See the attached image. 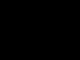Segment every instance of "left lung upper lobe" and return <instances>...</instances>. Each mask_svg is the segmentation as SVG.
I'll list each match as a JSON object with an SVG mask.
<instances>
[{"mask_svg":"<svg viewBox=\"0 0 80 60\" xmlns=\"http://www.w3.org/2000/svg\"><path fill=\"white\" fill-rule=\"evenodd\" d=\"M23 14L24 15L26 14L25 16H27L28 15V11L24 10ZM17 38H18V35H17ZM36 40H37L36 37H34V36L28 37L26 35V33H25V35H22V38H19L18 42H22V45L25 46V48H26L27 46H30L31 44H33L34 42H36Z\"/></svg>","mask_w":80,"mask_h":60,"instance_id":"obj_1","label":"left lung upper lobe"}]
</instances>
